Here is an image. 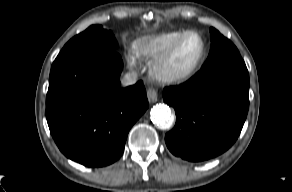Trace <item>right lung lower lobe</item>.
Instances as JSON below:
<instances>
[{"mask_svg":"<svg viewBox=\"0 0 292 192\" xmlns=\"http://www.w3.org/2000/svg\"><path fill=\"white\" fill-rule=\"evenodd\" d=\"M123 62L111 48L61 51L52 64L46 118L60 151L88 167L115 162L148 108L142 82L122 88Z\"/></svg>","mask_w":292,"mask_h":192,"instance_id":"right-lung-lower-lobe-1","label":"right lung lower lobe"}]
</instances>
